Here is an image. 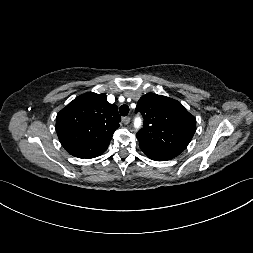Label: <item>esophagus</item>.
Segmentation results:
<instances>
[{"label":"esophagus","instance_id":"esophagus-1","mask_svg":"<svg viewBox=\"0 0 253 253\" xmlns=\"http://www.w3.org/2000/svg\"><path fill=\"white\" fill-rule=\"evenodd\" d=\"M122 121H123V123H124L125 125H127V124L130 123V117H124V118L122 119Z\"/></svg>","mask_w":253,"mask_h":253}]
</instances>
